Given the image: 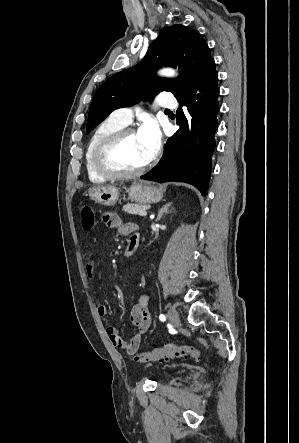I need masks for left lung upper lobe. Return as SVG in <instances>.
<instances>
[{
    "label": "left lung upper lobe",
    "instance_id": "obj_1",
    "mask_svg": "<svg viewBox=\"0 0 299 443\" xmlns=\"http://www.w3.org/2000/svg\"><path fill=\"white\" fill-rule=\"evenodd\" d=\"M212 60L208 45L197 30L178 24L167 27L152 42L140 64L114 74L99 87L90 106L87 132L113 110L161 91L178 97ZM162 65L178 67L180 75L175 79L157 77L155 70Z\"/></svg>",
    "mask_w": 299,
    "mask_h": 443
}]
</instances>
